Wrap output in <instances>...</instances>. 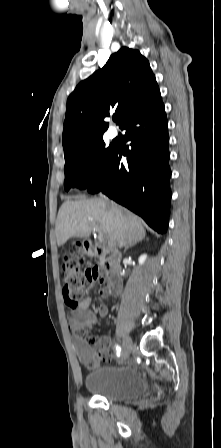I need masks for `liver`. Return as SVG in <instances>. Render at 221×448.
Segmentation results:
<instances>
[{
	"label": "liver",
	"instance_id": "1",
	"mask_svg": "<svg viewBox=\"0 0 221 448\" xmlns=\"http://www.w3.org/2000/svg\"><path fill=\"white\" fill-rule=\"evenodd\" d=\"M96 227L112 250L136 244L146 234L138 216L105 197H99L62 204L55 227L57 244L62 246L71 237L87 239Z\"/></svg>",
	"mask_w": 221,
	"mask_h": 448
}]
</instances>
